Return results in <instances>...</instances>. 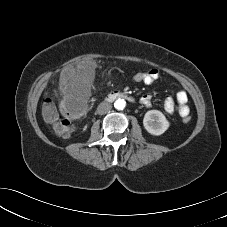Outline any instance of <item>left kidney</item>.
I'll return each instance as SVG.
<instances>
[{"instance_id":"obj_1","label":"left kidney","mask_w":227,"mask_h":227,"mask_svg":"<svg viewBox=\"0 0 227 227\" xmlns=\"http://www.w3.org/2000/svg\"><path fill=\"white\" fill-rule=\"evenodd\" d=\"M144 128L151 135L159 136L169 128V122L158 110L147 111L143 119Z\"/></svg>"}]
</instances>
